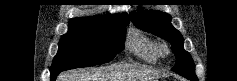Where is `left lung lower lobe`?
<instances>
[{
	"label": "left lung lower lobe",
	"mask_w": 237,
	"mask_h": 81,
	"mask_svg": "<svg viewBox=\"0 0 237 81\" xmlns=\"http://www.w3.org/2000/svg\"><path fill=\"white\" fill-rule=\"evenodd\" d=\"M187 79H189V80H191V81H196V80H194L193 78H188V77H186ZM198 81V80H197Z\"/></svg>",
	"instance_id": "left-lung-lower-lobe-1"
}]
</instances>
